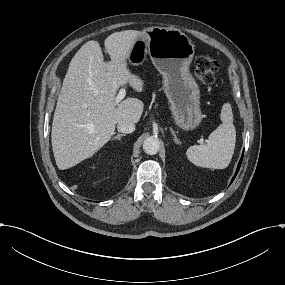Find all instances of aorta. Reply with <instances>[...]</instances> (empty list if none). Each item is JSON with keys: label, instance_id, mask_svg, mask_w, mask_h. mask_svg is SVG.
I'll return each mask as SVG.
<instances>
[{"label": "aorta", "instance_id": "1", "mask_svg": "<svg viewBox=\"0 0 285 285\" xmlns=\"http://www.w3.org/2000/svg\"><path fill=\"white\" fill-rule=\"evenodd\" d=\"M160 149L159 139L155 136L147 137L143 142V150L148 155H155Z\"/></svg>", "mask_w": 285, "mask_h": 285}]
</instances>
